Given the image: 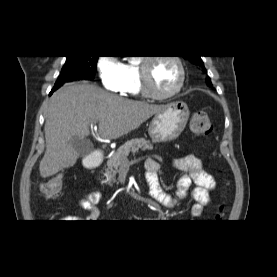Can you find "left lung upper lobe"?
Returning a JSON list of instances; mask_svg holds the SVG:
<instances>
[{
	"label": "left lung upper lobe",
	"instance_id": "1",
	"mask_svg": "<svg viewBox=\"0 0 277 277\" xmlns=\"http://www.w3.org/2000/svg\"><path fill=\"white\" fill-rule=\"evenodd\" d=\"M184 57L186 59H188L191 63L200 66L203 69L204 72H207L206 68L204 67V63H203L202 59L200 58V56H190V57L184 56ZM208 84H210V82H208Z\"/></svg>",
	"mask_w": 277,
	"mask_h": 277
}]
</instances>
